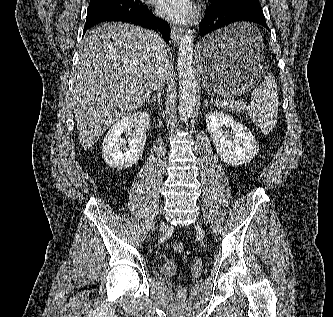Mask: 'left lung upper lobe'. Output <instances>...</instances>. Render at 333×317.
<instances>
[{
  "mask_svg": "<svg viewBox=\"0 0 333 317\" xmlns=\"http://www.w3.org/2000/svg\"><path fill=\"white\" fill-rule=\"evenodd\" d=\"M222 1L229 4L259 3V0H210L211 3H217Z\"/></svg>",
  "mask_w": 333,
  "mask_h": 317,
  "instance_id": "left-lung-upper-lobe-1",
  "label": "left lung upper lobe"
}]
</instances>
